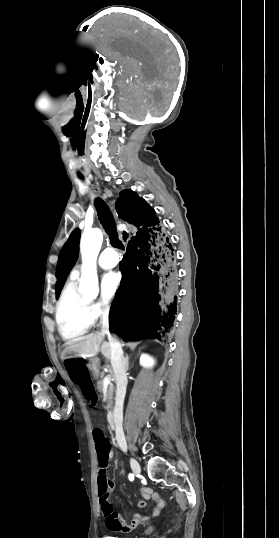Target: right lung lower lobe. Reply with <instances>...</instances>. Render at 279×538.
Returning a JSON list of instances; mask_svg holds the SVG:
<instances>
[{
    "instance_id": "98d812e1",
    "label": "right lung lower lobe",
    "mask_w": 279,
    "mask_h": 538,
    "mask_svg": "<svg viewBox=\"0 0 279 538\" xmlns=\"http://www.w3.org/2000/svg\"><path fill=\"white\" fill-rule=\"evenodd\" d=\"M116 211L130 226L123 232L128 245L109 322L126 340L159 339L170 330L177 313L179 280L174 249L154 209L135 192L122 191Z\"/></svg>"
}]
</instances>
